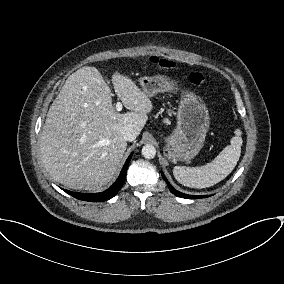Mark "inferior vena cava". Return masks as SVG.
<instances>
[{
  "mask_svg": "<svg viewBox=\"0 0 284 284\" xmlns=\"http://www.w3.org/2000/svg\"><path fill=\"white\" fill-rule=\"evenodd\" d=\"M122 137L125 141H133L137 137V132L132 127H125L122 131Z\"/></svg>",
  "mask_w": 284,
  "mask_h": 284,
  "instance_id": "602c4592",
  "label": "inferior vena cava"
}]
</instances>
